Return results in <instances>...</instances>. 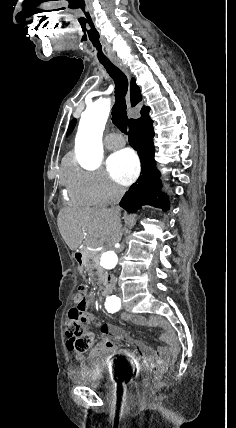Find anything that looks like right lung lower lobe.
Returning <instances> with one entry per match:
<instances>
[{"label": "right lung lower lobe", "mask_w": 236, "mask_h": 428, "mask_svg": "<svg viewBox=\"0 0 236 428\" xmlns=\"http://www.w3.org/2000/svg\"><path fill=\"white\" fill-rule=\"evenodd\" d=\"M152 123L148 113L130 125L129 142L138 151L141 160V176L120 201V206L130 213L136 212L144 205L169 209L167 196L159 191L162 183L154 160Z\"/></svg>", "instance_id": "98d812e1"}]
</instances>
